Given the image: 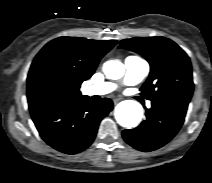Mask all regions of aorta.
Returning <instances> with one entry per match:
<instances>
[{"mask_svg": "<svg viewBox=\"0 0 212 183\" xmlns=\"http://www.w3.org/2000/svg\"><path fill=\"white\" fill-rule=\"evenodd\" d=\"M104 74L109 79L117 80L124 75L125 67L118 60H110L103 65ZM143 116L141 105L133 100H125L119 103L115 109L117 122L125 128L136 127Z\"/></svg>", "mask_w": 212, "mask_h": 183, "instance_id": "1", "label": "aorta"}]
</instances>
